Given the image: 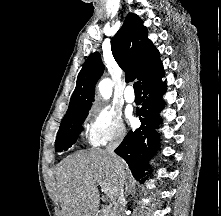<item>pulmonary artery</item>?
Here are the masks:
<instances>
[{
    "mask_svg": "<svg viewBox=\"0 0 221 216\" xmlns=\"http://www.w3.org/2000/svg\"><path fill=\"white\" fill-rule=\"evenodd\" d=\"M124 97L128 103H133L135 101V94L131 86H128L127 89L125 90Z\"/></svg>",
    "mask_w": 221,
    "mask_h": 216,
    "instance_id": "e3ab8cb5",
    "label": "pulmonary artery"
}]
</instances>
